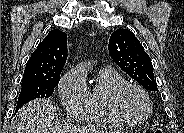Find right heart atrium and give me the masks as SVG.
Listing matches in <instances>:
<instances>
[{
  "label": "right heart atrium",
  "mask_w": 184,
  "mask_h": 133,
  "mask_svg": "<svg viewBox=\"0 0 184 133\" xmlns=\"http://www.w3.org/2000/svg\"><path fill=\"white\" fill-rule=\"evenodd\" d=\"M58 92L67 114L74 120H86L90 108V90L78 68L71 69L61 78Z\"/></svg>",
  "instance_id": "1"
}]
</instances>
